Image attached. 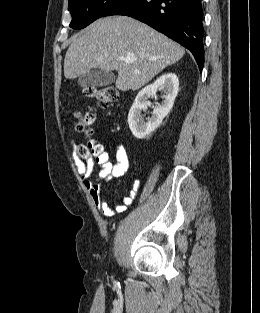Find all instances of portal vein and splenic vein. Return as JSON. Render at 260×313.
I'll return each instance as SVG.
<instances>
[{"label": "portal vein and splenic vein", "mask_w": 260, "mask_h": 313, "mask_svg": "<svg viewBox=\"0 0 260 313\" xmlns=\"http://www.w3.org/2000/svg\"><path fill=\"white\" fill-rule=\"evenodd\" d=\"M121 60L125 61L126 63H132L135 60L134 56H128L124 58H120Z\"/></svg>", "instance_id": "18ae733b"}]
</instances>
